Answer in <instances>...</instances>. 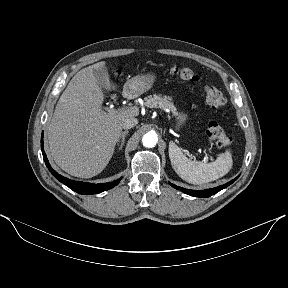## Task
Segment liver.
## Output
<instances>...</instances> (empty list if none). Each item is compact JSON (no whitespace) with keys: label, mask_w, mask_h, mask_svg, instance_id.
<instances>
[{"label":"liver","mask_w":288,"mask_h":288,"mask_svg":"<svg viewBox=\"0 0 288 288\" xmlns=\"http://www.w3.org/2000/svg\"><path fill=\"white\" fill-rule=\"evenodd\" d=\"M105 65L98 62L74 75L48 127L52 158L62 170L76 177L91 178L102 172L114 153L124 121L139 115L136 106L114 114L104 111V95L94 70ZM106 87L116 89L109 77Z\"/></svg>","instance_id":"liver-1"}]
</instances>
